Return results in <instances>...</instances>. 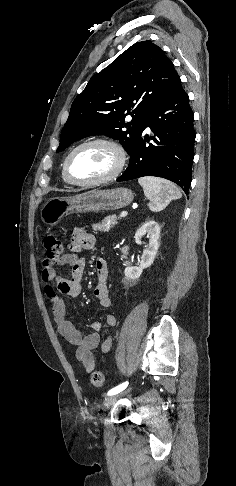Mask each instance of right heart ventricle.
<instances>
[{"mask_svg": "<svg viewBox=\"0 0 236 486\" xmlns=\"http://www.w3.org/2000/svg\"><path fill=\"white\" fill-rule=\"evenodd\" d=\"M62 177H63V179H64V181H65V182H68V181L66 180V178L64 177V174H63V169H62Z\"/></svg>", "mask_w": 236, "mask_h": 486, "instance_id": "e07e8e85", "label": "right heart ventricle"}]
</instances>
